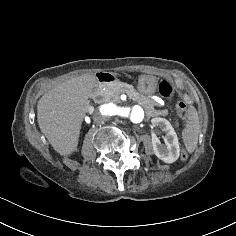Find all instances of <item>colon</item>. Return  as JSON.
<instances>
[{
    "instance_id": "colon-1",
    "label": "colon",
    "mask_w": 236,
    "mask_h": 236,
    "mask_svg": "<svg viewBox=\"0 0 236 236\" xmlns=\"http://www.w3.org/2000/svg\"><path fill=\"white\" fill-rule=\"evenodd\" d=\"M159 93L160 95L169 100L172 101L175 98V89L171 82L167 79H164L160 85H159ZM186 114V106L184 103L179 102L176 105V110H175V117H174V122L177 123L179 121V118L184 117Z\"/></svg>"
}]
</instances>
